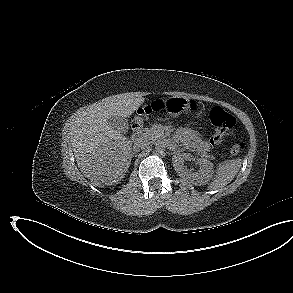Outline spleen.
<instances>
[{"instance_id":"1","label":"spleen","mask_w":293,"mask_h":293,"mask_svg":"<svg viewBox=\"0 0 293 293\" xmlns=\"http://www.w3.org/2000/svg\"><path fill=\"white\" fill-rule=\"evenodd\" d=\"M241 164L242 160L240 158L219 163L215 171V177L210 183L209 188L211 190H217L229 184L239 172Z\"/></svg>"}]
</instances>
